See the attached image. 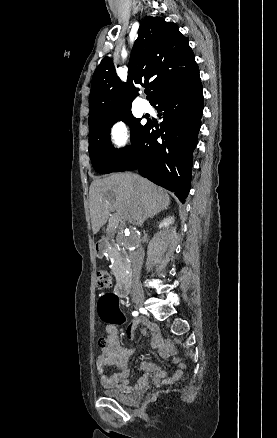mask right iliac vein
<instances>
[{
    "label": "right iliac vein",
    "instance_id": "1",
    "mask_svg": "<svg viewBox=\"0 0 277 438\" xmlns=\"http://www.w3.org/2000/svg\"><path fill=\"white\" fill-rule=\"evenodd\" d=\"M134 302L137 305V307L142 308L144 306V296L143 295L135 296Z\"/></svg>",
    "mask_w": 277,
    "mask_h": 438
}]
</instances>
